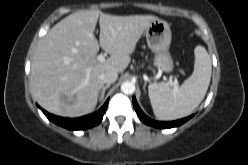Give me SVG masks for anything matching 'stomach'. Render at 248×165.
Masks as SVG:
<instances>
[{"label": "stomach", "mask_w": 248, "mask_h": 165, "mask_svg": "<svg viewBox=\"0 0 248 165\" xmlns=\"http://www.w3.org/2000/svg\"><path fill=\"white\" fill-rule=\"evenodd\" d=\"M148 47L155 54L154 66L163 72L173 70V59L169 48L171 44V30L169 24L161 19L152 21L145 29Z\"/></svg>", "instance_id": "stomach-1"}]
</instances>
